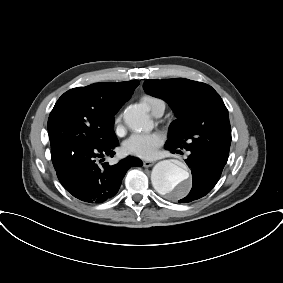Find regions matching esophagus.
<instances>
[{
	"label": "esophagus",
	"mask_w": 283,
	"mask_h": 283,
	"mask_svg": "<svg viewBox=\"0 0 283 283\" xmlns=\"http://www.w3.org/2000/svg\"><path fill=\"white\" fill-rule=\"evenodd\" d=\"M155 164V161H143V166L148 168Z\"/></svg>",
	"instance_id": "obj_1"
}]
</instances>
